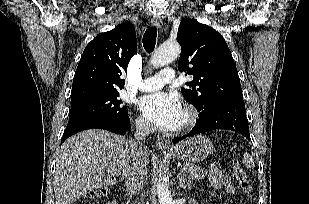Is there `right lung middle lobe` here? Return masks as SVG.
I'll return each mask as SVG.
<instances>
[{
	"label": "right lung middle lobe",
	"mask_w": 309,
	"mask_h": 204,
	"mask_svg": "<svg viewBox=\"0 0 309 204\" xmlns=\"http://www.w3.org/2000/svg\"><path fill=\"white\" fill-rule=\"evenodd\" d=\"M119 92L71 104L69 121L83 116H104L119 122L129 120L126 106L118 99Z\"/></svg>",
	"instance_id": "right-lung-middle-lobe-1"
}]
</instances>
